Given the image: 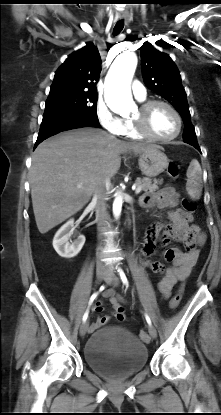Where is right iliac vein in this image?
Here are the masks:
<instances>
[{"instance_id":"63e3f726","label":"right iliac vein","mask_w":221,"mask_h":415,"mask_svg":"<svg viewBox=\"0 0 221 415\" xmlns=\"http://www.w3.org/2000/svg\"><path fill=\"white\" fill-rule=\"evenodd\" d=\"M107 276H108L107 272H105L103 270L97 271V280H98V282H101L102 280H105L107 278ZM88 328H89V323L85 321L80 327V335L84 336L87 333Z\"/></svg>"}]
</instances>
